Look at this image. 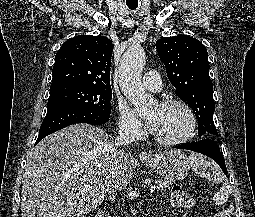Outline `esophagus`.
Wrapping results in <instances>:
<instances>
[{
    "label": "esophagus",
    "mask_w": 255,
    "mask_h": 217,
    "mask_svg": "<svg viewBox=\"0 0 255 217\" xmlns=\"http://www.w3.org/2000/svg\"><path fill=\"white\" fill-rule=\"evenodd\" d=\"M139 158L140 159H145V158H149V154L147 152H140L139 153Z\"/></svg>",
    "instance_id": "1"
}]
</instances>
